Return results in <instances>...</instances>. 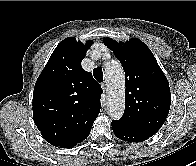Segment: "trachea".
Returning <instances> with one entry per match:
<instances>
[{
    "label": "trachea",
    "instance_id": "trachea-1",
    "mask_svg": "<svg viewBox=\"0 0 196 166\" xmlns=\"http://www.w3.org/2000/svg\"><path fill=\"white\" fill-rule=\"evenodd\" d=\"M93 75L98 82L103 81V71L100 67H97L93 70Z\"/></svg>",
    "mask_w": 196,
    "mask_h": 166
}]
</instances>
